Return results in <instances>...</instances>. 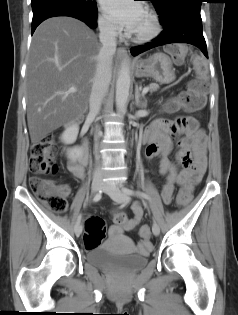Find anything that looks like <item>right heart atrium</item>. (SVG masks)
<instances>
[{"mask_svg": "<svg viewBox=\"0 0 238 315\" xmlns=\"http://www.w3.org/2000/svg\"><path fill=\"white\" fill-rule=\"evenodd\" d=\"M98 27L100 32L110 38L116 37L119 33V28L115 22L105 14L98 17Z\"/></svg>", "mask_w": 238, "mask_h": 315, "instance_id": "obj_1", "label": "right heart atrium"}]
</instances>
